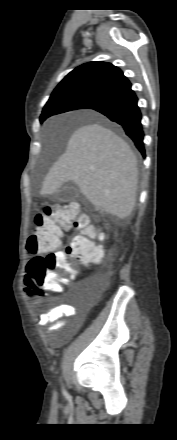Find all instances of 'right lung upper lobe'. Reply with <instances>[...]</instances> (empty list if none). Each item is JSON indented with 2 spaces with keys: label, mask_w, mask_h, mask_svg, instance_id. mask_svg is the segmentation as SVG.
I'll list each match as a JSON object with an SVG mask.
<instances>
[{
  "label": "right lung upper lobe",
  "mask_w": 177,
  "mask_h": 440,
  "mask_svg": "<svg viewBox=\"0 0 177 440\" xmlns=\"http://www.w3.org/2000/svg\"><path fill=\"white\" fill-rule=\"evenodd\" d=\"M129 85L131 83L118 67L101 61L89 62L75 68L65 76L52 95L78 92L97 100Z\"/></svg>",
  "instance_id": "obj_1"
}]
</instances>
